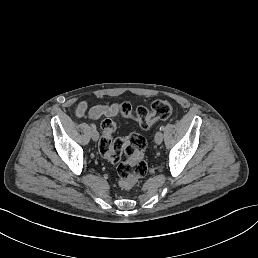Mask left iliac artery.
Segmentation results:
<instances>
[{
	"instance_id": "44dca946",
	"label": "left iliac artery",
	"mask_w": 258,
	"mask_h": 258,
	"mask_svg": "<svg viewBox=\"0 0 258 258\" xmlns=\"http://www.w3.org/2000/svg\"><path fill=\"white\" fill-rule=\"evenodd\" d=\"M164 129H165V126L162 125V126L160 127V131H164Z\"/></svg>"
}]
</instances>
